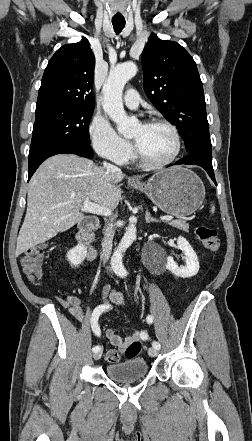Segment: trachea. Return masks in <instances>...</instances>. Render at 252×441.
<instances>
[{"mask_svg":"<svg viewBox=\"0 0 252 441\" xmlns=\"http://www.w3.org/2000/svg\"><path fill=\"white\" fill-rule=\"evenodd\" d=\"M114 31L118 34L125 27V20H112Z\"/></svg>","mask_w":252,"mask_h":441,"instance_id":"trachea-1","label":"trachea"}]
</instances>
